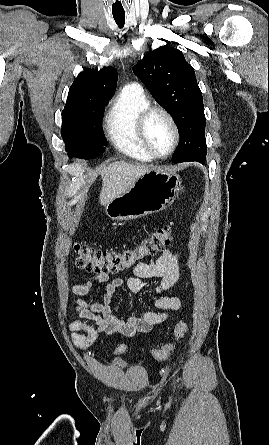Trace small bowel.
<instances>
[{
	"instance_id": "obj_1",
	"label": "small bowel",
	"mask_w": 269,
	"mask_h": 445,
	"mask_svg": "<svg viewBox=\"0 0 269 445\" xmlns=\"http://www.w3.org/2000/svg\"><path fill=\"white\" fill-rule=\"evenodd\" d=\"M131 271V275L116 277L111 281L108 274L96 273L85 283L71 287L72 293L76 296L74 307L76 314L95 324L92 326L80 320L69 324L71 339L76 347L79 349L90 347L101 332L124 337L149 332L154 326L163 323L171 311L182 307L180 298L164 295L180 278L179 253L166 249L154 262L137 263ZM85 275V273L79 274L80 277ZM154 279L158 280L155 284L151 282ZM104 283L106 285L99 302H89L82 298L90 294L97 285ZM123 287L131 293L153 291L158 295L153 305L159 311L145 310L132 316H118L113 311L111 303L115 291Z\"/></svg>"
}]
</instances>
